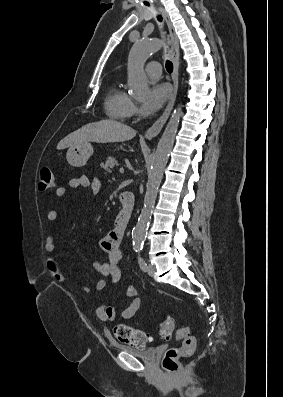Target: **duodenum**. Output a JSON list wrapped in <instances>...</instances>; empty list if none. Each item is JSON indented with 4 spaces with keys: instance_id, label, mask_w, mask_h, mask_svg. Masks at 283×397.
<instances>
[{
    "instance_id": "1",
    "label": "duodenum",
    "mask_w": 283,
    "mask_h": 397,
    "mask_svg": "<svg viewBox=\"0 0 283 397\" xmlns=\"http://www.w3.org/2000/svg\"><path fill=\"white\" fill-rule=\"evenodd\" d=\"M121 209L115 219V228L124 232L127 228L134 209L135 198L131 192H122L119 196Z\"/></svg>"
}]
</instances>
